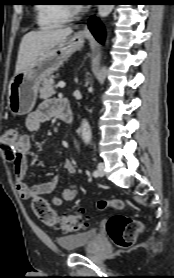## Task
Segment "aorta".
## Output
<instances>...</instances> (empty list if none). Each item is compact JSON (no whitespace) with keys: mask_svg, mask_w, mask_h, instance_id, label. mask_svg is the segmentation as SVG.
I'll use <instances>...</instances> for the list:
<instances>
[{"mask_svg":"<svg viewBox=\"0 0 174 278\" xmlns=\"http://www.w3.org/2000/svg\"><path fill=\"white\" fill-rule=\"evenodd\" d=\"M113 5H99L98 6V14L100 17H106L108 16L112 9ZM96 63V59L93 60V64ZM81 137L84 141L85 144H89L91 142L92 134H91V129L86 120L82 121L81 124Z\"/></svg>","mask_w":174,"mask_h":278,"instance_id":"762f6f07","label":"aorta"}]
</instances>
